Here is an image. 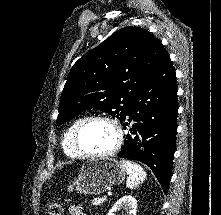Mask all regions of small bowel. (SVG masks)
I'll use <instances>...</instances> for the list:
<instances>
[{
  "mask_svg": "<svg viewBox=\"0 0 221 215\" xmlns=\"http://www.w3.org/2000/svg\"><path fill=\"white\" fill-rule=\"evenodd\" d=\"M69 213H70V215H86L78 207H76L74 205L69 207Z\"/></svg>",
  "mask_w": 221,
  "mask_h": 215,
  "instance_id": "small-bowel-1",
  "label": "small bowel"
}]
</instances>
